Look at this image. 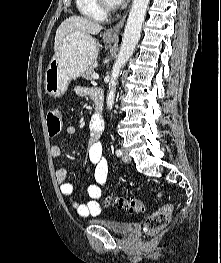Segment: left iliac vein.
Listing matches in <instances>:
<instances>
[{"label": "left iliac vein", "mask_w": 221, "mask_h": 263, "mask_svg": "<svg viewBox=\"0 0 221 263\" xmlns=\"http://www.w3.org/2000/svg\"><path fill=\"white\" fill-rule=\"evenodd\" d=\"M122 160L125 162V163H129L131 162V157L129 156V154L127 152H123V156H122Z\"/></svg>", "instance_id": "4c4485c4"}]
</instances>
